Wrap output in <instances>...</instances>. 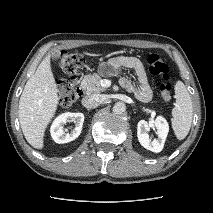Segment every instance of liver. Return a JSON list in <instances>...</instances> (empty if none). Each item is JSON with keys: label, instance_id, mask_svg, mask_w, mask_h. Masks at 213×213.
Masks as SVG:
<instances>
[{"label": "liver", "instance_id": "1", "mask_svg": "<svg viewBox=\"0 0 213 213\" xmlns=\"http://www.w3.org/2000/svg\"><path fill=\"white\" fill-rule=\"evenodd\" d=\"M57 92L48 55L28 79L19 101L22 132L27 142L36 149L44 147L45 130L58 106Z\"/></svg>", "mask_w": 213, "mask_h": 213}]
</instances>
